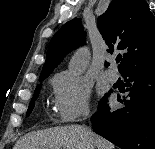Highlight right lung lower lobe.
<instances>
[{
  "label": "right lung lower lobe",
  "instance_id": "obj_1",
  "mask_svg": "<svg viewBox=\"0 0 155 149\" xmlns=\"http://www.w3.org/2000/svg\"><path fill=\"white\" fill-rule=\"evenodd\" d=\"M130 93L124 107L110 111L104 98L92 115L93 130L122 149H155V63L122 73Z\"/></svg>",
  "mask_w": 155,
  "mask_h": 149
}]
</instances>
